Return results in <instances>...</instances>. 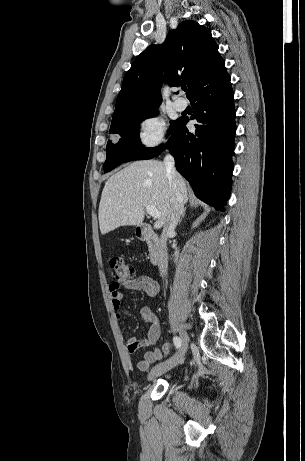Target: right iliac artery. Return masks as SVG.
Masks as SVG:
<instances>
[{
  "instance_id": "82829eb1",
  "label": "right iliac artery",
  "mask_w": 305,
  "mask_h": 461,
  "mask_svg": "<svg viewBox=\"0 0 305 461\" xmlns=\"http://www.w3.org/2000/svg\"><path fill=\"white\" fill-rule=\"evenodd\" d=\"M173 342H174V345L176 346V348H179L181 346V343H182L181 339L178 336H175L173 338Z\"/></svg>"
}]
</instances>
